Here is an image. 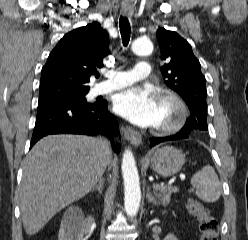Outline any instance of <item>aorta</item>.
Segmentation results:
<instances>
[{"label":"aorta","instance_id":"aorta-1","mask_svg":"<svg viewBox=\"0 0 248 240\" xmlns=\"http://www.w3.org/2000/svg\"><path fill=\"white\" fill-rule=\"evenodd\" d=\"M131 49L136 55L148 56L153 51V44L149 39L139 38L133 41ZM121 167L124 181L125 211L128 216L133 217L139 209L141 189L136 162L130 149L125 150Z\"/></svg>","mask_w":248,"mask_h":240}]
</instances>
